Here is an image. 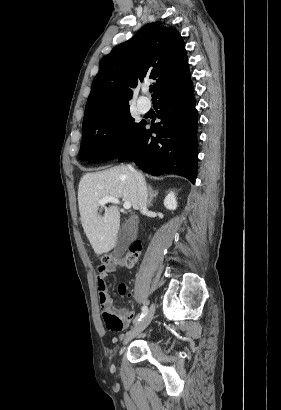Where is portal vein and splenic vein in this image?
<instances>
[{
  "instance_id": "1",
  "label": "portal vein and splenic vein",
  "mask_w": 281,
  "mask_h": 410,
  "mask_svg": "<svg viewBox=\"0 0 281 410\" xmlns=\"http://www.w3.org/2000/svg\"><path fill=\"white\" fill-rule=\"evenodd\" d=\"M108 202L115 203V204L120 203L119 199L114 197V196H106V197H104V198H102L101 200L98 201V203L101 206H104ZM123 207H124V209L129 210L131 208V203L130 202H124Z\"/></svg>"
}]
</instances>
